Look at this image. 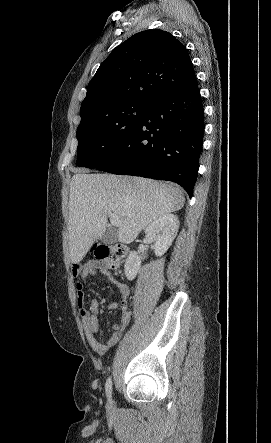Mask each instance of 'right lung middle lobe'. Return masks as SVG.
Here are the masks:
<instances>
[{"instance_id": "right-lung-middle-lobe-1", "label": "right lung middle lobe", "mask_w": 271, "mask_h": 443, "mask_svg": "<svg viewBox=\"0 0 271 443\" xmlns=\"http://www.w3.org/2000/svg\"><path fill=\"white\" fill-rule=\"evenodd\" d=\"M148 106L127 101L82 120L77 128L76 166L97 168L106 162L139 124Z\"/></svg>"}]
</instances>
